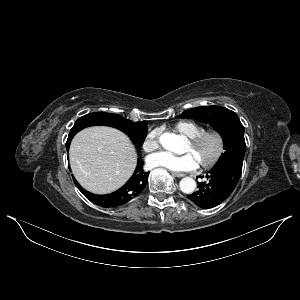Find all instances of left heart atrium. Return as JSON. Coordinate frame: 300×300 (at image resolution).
<instances>
[{"label":"left heart atrium","mask_w":300,"mask_h":300,"mask_svg":"<svg viewBox=\"0 0 300 300\" xmlns=\"http://www.w3.org/2000/svg\"><path fill=\"white\" fill-rule=\"evenodd\" d=\"M147 163L150 167L165 168L174 172L192 171L199 165L191 153L172 155L167 152H159L149 156Z\"/></svg>","instance_id":"39dd6f15"}]
</instances>
